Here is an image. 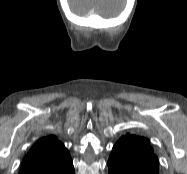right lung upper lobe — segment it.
I'll return each instance as SVG.
<instances>
[{"label": "right lung upper lobe", "mask_w": 187, "mask_h": 174, "mask_svg": "<svg viewBox=\"0 0 187 174\" xmlns=\"http://www.w3.org/2000/svg\"><path fill=\"white\" fill-rule=\"evenodd\" d=\"M74 170L65 146L55 136L39 139L24 157L19 174H68Z\"/></svg>", "instance_id": "cb5924a9"}]
</instances>
